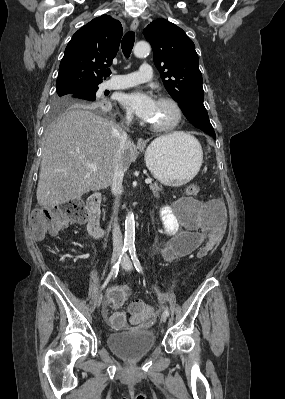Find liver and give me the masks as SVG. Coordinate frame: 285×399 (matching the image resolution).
Wrapping results in <instances>:
<instances>
[{
  "label": "liver",
  "mask_w": 285,
  "mask_h": 399,
  "mask_svg": "<svg viewBox=\"0 0 285 399\" xmlns=\"http://www.w3.org/2000/svg\"><path fill=\"white\" fill-rule=\"evenodd\" d=\"M122 129L114 122L83 109H70L48 129L36 197L50 209L112 184ZM175 132L163 138H180ZM187 135V134H186ZM134 146L127 140L123 167L131 164ZM86 164L98 170L91 171Z\"/></svg>",
  "instance_id": "1"
}]
</instances>
